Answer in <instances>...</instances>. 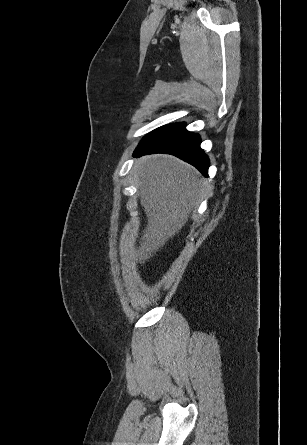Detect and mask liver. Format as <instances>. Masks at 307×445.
Instances as JSON below:
<instances>
[{
	"label": "liver",
	"instance_id": "obj_1",
	"mask_svg": "<svg viewBox=\"0 0 307 445\" xmlns=\"http://www.w3.org/2000/svg\"><path fill=\"white\" fill-rule=\"evenodd\" d=\"M140 164L137 184L148 225L134 257L145 263L186 225L207 186L196 168L174 156H149L141 158ZM128 243V237L123 235L121 245L125 251Z\"/></svg>",
	"mask_w": 307,
	"mask_h": 445
}]
</instances>
